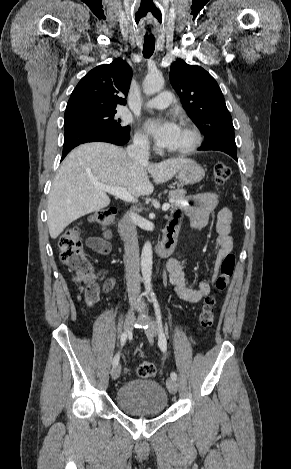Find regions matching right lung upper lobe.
<instances>
[{
	"label": "right lung upper lobe",
	"instance_id": "cb5924a9",
	"mask_svg": "<svg viewBox=\"0 0 291 469\" xmlns=\"http://www.w3.org/2000/svg\"><path fill=\"white\" fill-rule=\"evenodd\" d=\"M132 71L126 61L115 59L97 66L77 84L67 103L65 114L90 109H115L125 105Z\"/></svg>",
	"mask_w": 291,
	"mask_h": 469
}]
</instances>
